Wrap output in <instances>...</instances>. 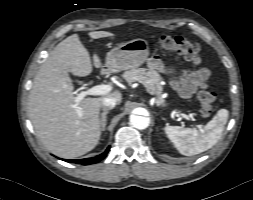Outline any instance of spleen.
Instances as JSON below:
<instances>
[{"label":"spleen","mask_w":253,"mask_h":200,"mask_svg":"<svg viewBox=\"0 0 253 200\" xmlns=\"http://www.w3.org/2000/svg\"><path fill=\"white\" fill-rule=\"evenodd\" d=\"M228 116V110L220 109L212 120L200 130L166 126L165 133L181 154L196 155L212 148L219 141Z\"/></svg>","instance_id":"spleen-1"}]
</instances>
